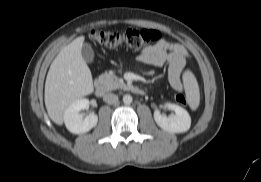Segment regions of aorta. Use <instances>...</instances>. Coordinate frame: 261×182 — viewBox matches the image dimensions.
I'll return each instance as SVG.
<instances>
[{
	"label": "aorta",
	"instance_id": "obj_1",
	"mask_svg": "<svg viewBox=\"0 0 261 182\" xmlns=\"http://www.w3.org/2000/svg\"><path fill=\"white\" fill-rule=\"evenodd\" d=\"M132 100H133V98L129 94H126V95L123 96V103L126 104V105L131 104Z\"/></svg>",
	"mask_w": 261,
	"mask_h": 182
}]
</instances>
